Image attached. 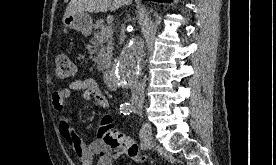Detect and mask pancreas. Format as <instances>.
I'll return each instance as SVG.
<instances>
[{"label": "pancreas", "mask_w": 276, "mask_h": 165, "mask_svg": "<svg viewBox=\"0 0 276 165\" xmlns=\"http://www.w3.org/2000/svg\"><path fill=\"white\" fill-rule=\"evenodd\" d=\"M92 50L90 53L94 55L93 61L99 71L106 70L111 63L112 59V38L106 37L101 34V31L94 32L90 40Z\"/></svg>", "instance_id": "pancreas-1"}]
</instances>
